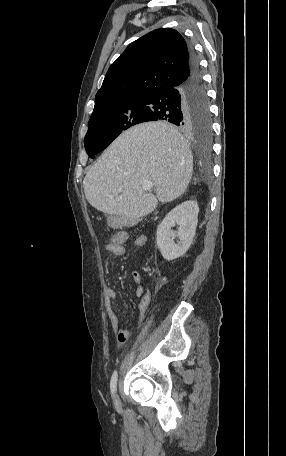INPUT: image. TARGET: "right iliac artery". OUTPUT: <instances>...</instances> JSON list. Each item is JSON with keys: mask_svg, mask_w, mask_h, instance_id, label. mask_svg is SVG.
I'll use <instances>...</instances> for the list:
<instances>
[{"mask_svg": "<svg viewBox=\"0 0 286 456\" xmlns=\"http://www.w3.org/2000/svg\"><path fill=\"white\" fill-rule=\"evenodd\" d=\"M117 371H114L112 377H111V381H110V389H111V393L113 395V397H115V394H116V389H117Z\"/></svg>", "mask_w": 286, "mask_h": 456, "instance_id": "right-iliac-artery-1", "label": "right iliac artery"}]
</instances>
